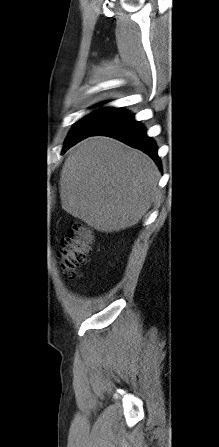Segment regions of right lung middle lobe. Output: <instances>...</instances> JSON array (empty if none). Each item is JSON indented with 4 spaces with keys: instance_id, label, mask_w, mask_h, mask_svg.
<instances>
[{
    "instance_id": "1",
    "label": "right lung middle lobe",
    "mask_w": 219,
    "mask_h": 447,
    "mask_svg": "<svg viewBox=\"0 0 219 447\" xmlns=\"http://www.w3.org/2000/svg\"><path fill=\"white\" fill-rule=\"evenodd\" d=\"M127 114L126 111L114 107H103L89 113L79 120L69 133L65 141L64 151L78 141L93 135L106 125Z\"/></svg>"
}]
</instances>
